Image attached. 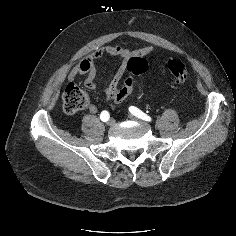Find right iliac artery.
Returning <instances> with one entry per match:
<instances>
[{
  "label": "right iliac artery",
  "mask_w": 236,
  "mask_h": 236,
  "mask_svg": "<svg viewBox=\"0 0 236 236\" xmlns=\"http://www.w3.org/2000/svg\"><path fill=\"white\" fill-rule=\"evenodd\" d=\"M109 118H110V115H109V112H108V111L104 110V111L101 112V114H100V119H101L103 122L108 121Z\"/></svg>",
  "instance_id": "1"
}]
</instances>
